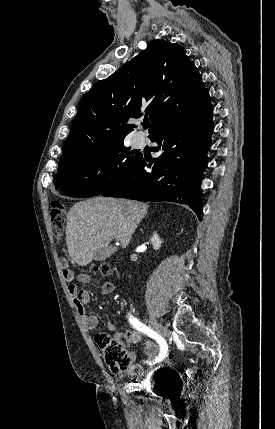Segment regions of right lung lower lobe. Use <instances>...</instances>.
<instances>
[{
  "label": "right lung lower lobe",
  "mask_w": 275,
  "mask_h": 429,
  "mask_svg": "<svg viewBox=\"0 0 275 429\" xmlns=\"http://www.w3.org/2000/svg\"><path fill=\"white\" fill-rule=\"evenodd\" d=\"M214 129L212 108L200 117L166 127L150 139L160 154L151 163L139 159L120 182L101 193L103 196L140 201H171L188 205L200 218V185L206 151ZM151 167L145 170L144 167Z\"/></svg>",
  "instance_id": "98d812e1"
}]
</instances>
